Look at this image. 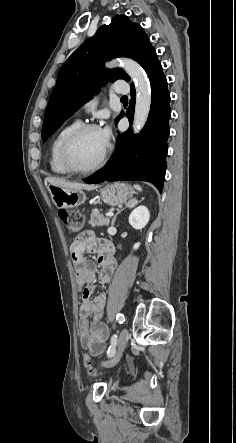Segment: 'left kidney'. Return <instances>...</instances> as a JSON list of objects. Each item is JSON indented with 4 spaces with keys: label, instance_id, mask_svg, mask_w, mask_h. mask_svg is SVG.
I'll return each instance as SVG.
<instances>
[{
    "label": "left kidney",
    "instance_id": "1",
    "mask_svg": "<svg viewBox=\"0 0 236 443\" xmlns=\"http://www.w3.org/2000/svg\"><path fill=\"white\" fill-rule=\"evenodd\" d=\"M149 219L150 213L148 208L146 206H138L131 212L129 216V223L134 229L140 230L147 225ZM139 246L140 243L138 242L134 244L133 248L138 249Z\"/></svg>",
    "mask_w": 236,
    "mask_h": 443
}]
</instances>
